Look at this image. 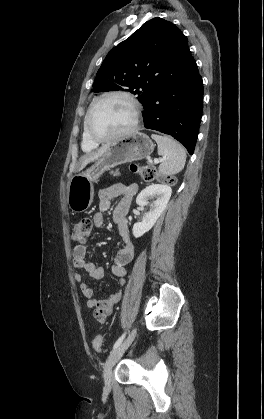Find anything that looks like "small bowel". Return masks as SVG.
Masks as SVG:
<instances>
[{
    "label": "small bowel",
    "mask_w": 264,
    "mask_h": 419,
    "mask_svg": "<svg viewBox=\"0 0 264 419\" xmlns=\"http://www.w3.org/2000/svg\"><path fill=\"white\" fill-rule=\"evenodd\" d=\"M136 191L137 185L134 183L114 185L101 190L99 193V211L93 216L94 225L98 228L102 227L104 225V213L110 208L112 200L119 198L113 213V221L118 227L124 246L118 251L111 270L120 279L121 284L124 283L127 268L134 259V245L129 236L126 215ZM73 265L78 270L74 277L80 286L82 294L87 298L88 308L93 311V316L99 323L105 324L108 316L112 313L114 305L120 300L121 292L111 294L106 299L95 298L94 290L86 282L84 274L99 280L104 276V269L87 260V249L85 246L78 245L73 249Z\"/></svg>",
    "instance_id": "1"
}]
</instances>
